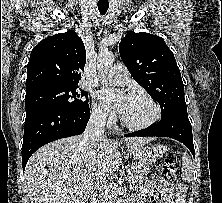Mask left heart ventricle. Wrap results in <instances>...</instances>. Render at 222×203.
<instances>
[{"mask_svg": "<svg viewBox=\"0 0 222 203\" xmlns=\"http://www.w3.org/2000/svg\"><path fill=\"white\" fill-rule=\"evenodd\" d=\"M154 115L152 105L141 97L129 96L125 109L121 116L131 123H143L150 120Z\"/></svg>", "mask_w": 222, "mask_h": 203, "instance_id": "left-heart-ventricle-1", "label": "left heart ventricle"}]
</instances>
